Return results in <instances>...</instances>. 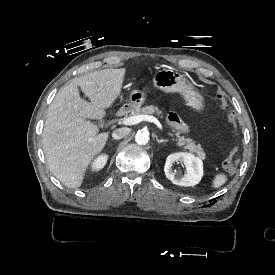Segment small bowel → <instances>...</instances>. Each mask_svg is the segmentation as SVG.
<instances>
[{
  "label": "small bowel",
  "instance_id": "obj_1",
  "mask_svg": "<svg viewBox=\"0 0 275 275\" xmlns=\"http://www.w3.org/2000/svg\"><path fill=\"white\" fill-rule=\"evenodd\" d=\"M167 118L172 129L182 132L187 130V125L177 113L171 112Z\"/></svg>",
  "mask_w": 275,
  "mask_h": 275
}]
</instances>
